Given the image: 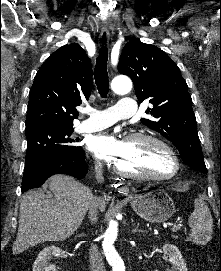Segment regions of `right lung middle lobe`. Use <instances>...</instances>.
Wrapping results in <instances>:
<instances>
[{
	"label": "right lung middle lobe",
	"instance_id": "1",
	"mask_svg": "<svg viewBox=\"0 0 221 271\" xmlns=\"http://www.w3.org/2000/svg\"><path fill=\"white\" fill-rule=\"evenodd\" d=\"M72 126L46 125L26 131L27 153L25 163L44 157L66 156L81 147L70 139Z\"/></svg>",
	"mask_w": 221,
	"mask_h": 271
}]
</instances>
